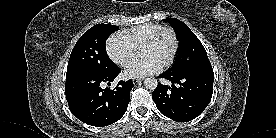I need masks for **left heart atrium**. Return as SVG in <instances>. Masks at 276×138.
Listing matches in <instances>:
<instances>
[{
	"label": "left heart atrium",
	"instance_id": "1",
	"mask_svg": "<svg viewBox=\"0 0 276 138\" xmlns=\"http://www.w3.org/2000/svg\"><path fill=\"white\" fill-rule=\"evenodd\" d=\"M162 64L153 57H144L128 62L124 73L127 77L141 78L156 72H159Z\"/></svg>",
	"mask_w": 276,
	"mask_h": 138
}]
</instances>
